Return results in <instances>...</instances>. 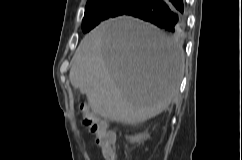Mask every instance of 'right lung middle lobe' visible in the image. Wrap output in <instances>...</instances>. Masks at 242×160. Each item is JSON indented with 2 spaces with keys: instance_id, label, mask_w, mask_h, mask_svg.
Listing matches in <instances>:
<instances>
[{
  "instance_id": "dd1d6c3e",
  "label": "right lung middle lobe",
  "mask_w": 242,
  "mask_h": 160,
  "mask_svg": "<svg viewBox=\"0 0 242 160\" xmlns=\"http://www.w3.org/2000/svg\"><path fill=\"white\" fill-rule=\"evenodd\" d=\"M142 0H88L82 31L89 32L102 20L124 15Z\"/></svg>"
}]
</instances>
